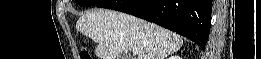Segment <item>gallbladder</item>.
<instances>
[{"label": "gallbladder", "mask_w": 261, "mask_h": 59, "mask_svg": "<svg viewBox=\"0 0 261 59\" xmlns=\"http://www.w3.org/2000/svg\"><path fill=\"white\" fill-rule=\"evenodd\" d=\"M121 59H128V56L127 55H122Z\"/></svg>", "instance_id": "gallbladder-1"}]
</instances>
